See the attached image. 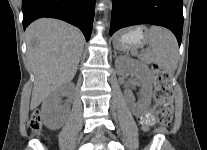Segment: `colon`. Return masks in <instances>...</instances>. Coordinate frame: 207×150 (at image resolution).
<instances>
[{
	"instance_id": "1",
	"label": "colon",
	"mask_w": 207,
	"mask_h": 150,
	"mask_svg": "<svg viewBox=\"0 0 207 150\" xmlns=\"http://www.w3.org/2000/svg\"><path fill=\"white\" fill-rule=\"evenodd\" d=\"M155 74V113L159 124L168 126L172 122L173 91L171 73L159 65L153 66ZM29 127L34 133L41 130V121L37 112L33 113Z\"/></svg>"
}]
</instances>
